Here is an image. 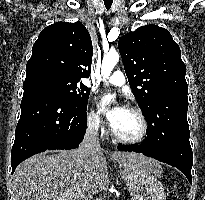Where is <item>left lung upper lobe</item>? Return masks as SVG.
Segmentation results:
<instances>
[{"instance_id":"1","label":"left lung upper lobe","mask_w":205,"mask_h":200,"mask_svg":"<svg viewBox=\"0 0 205 200\" xmlns=\"http://www.w3.org/2000/svg\"><path fill=\"white\" fill-rule=\"evenodd\" d=\"M125 73L135 98L147 119L148 129L166 111L155 110L158 97L185 91L186 66L171 34L156 25L139 27L119 39ZM166 109V108H164Z\"/></svg>"}]
</instances>
